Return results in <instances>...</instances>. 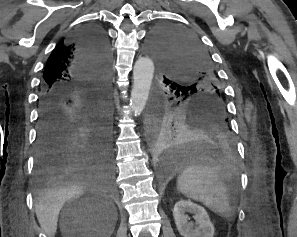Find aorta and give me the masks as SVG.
Wrapping results in <instances>:
<instances>
[{
    "label": "aorta",
    "instance_id": "aorta-1",
    "mask_svg": "<svg viewBox=\"0 0 297 237\" xmlns=\"http://www.w3.org/2000/svg\"><path fill=\"white\" fill-rule=\"evenodd\" d=\"M151 51V40L149 41ZM154 74L153 61L147 57H140L133 69V88L131 92L130 108L135 116H139L145 108Z\"/></svg>",
    "mask_w": 297,
    "mask_h": 237
}]
</instances>
